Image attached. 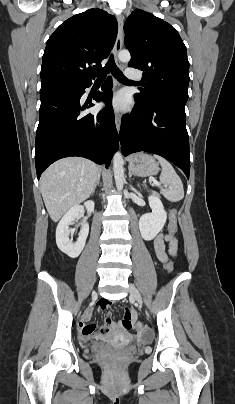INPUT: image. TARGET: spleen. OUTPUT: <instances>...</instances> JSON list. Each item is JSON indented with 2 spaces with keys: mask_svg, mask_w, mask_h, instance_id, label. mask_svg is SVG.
<instances>
[{
  "mask_svg": "<svg viewBox=\"0 0 235 404\" xmlns=\"http://www.w3.org/2000/svg\"><path fill=\"white\" fill-rule=\"evenodd\" d=\"M155 158L159 161L162 167L160 182L165 187L168 186V188H162L161 193L171 202L180 201L184 197V189L180 177L166 159L158 155H155Z\"/></svg>",
  "mask_w": 235,
  "mask_h": 404,
  "instance_id": "spleen-1",
  "label": "spleen"
}]
</instances>
